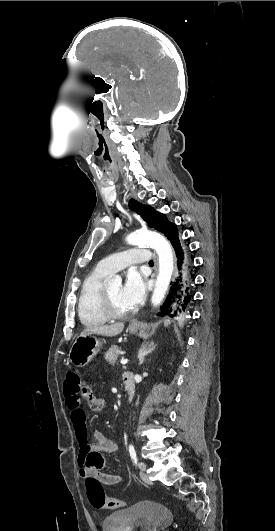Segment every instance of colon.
Segmentation results:
<instances>
[{"mask_svg":"<svg viewBox=\"0 0 275 531\" xmlns=\"http://www.w3.org/2000/svg\"><path fill=\"white\" fill-rule=\"evenodd\" d=\"M82 389L80 393L81 402H87L89 408L93 411H101L103 409V399L102 397L93 391V384L90 381H85L82 384ZM85 489H87V495L92 501V507L98 511H109L110 509H119L120 503L122 501L110 500L107 504H104L105 491L96 483L91 476H88L83 483Z\"/></svg>","mask_w":275,"mask_h":531,"instance_id":"obj_1","label":"colon"}]
</instances>
